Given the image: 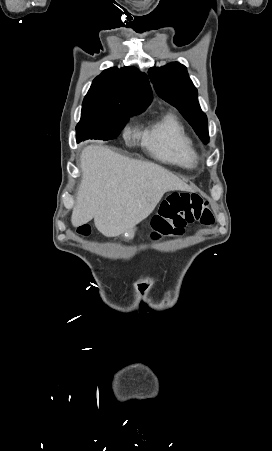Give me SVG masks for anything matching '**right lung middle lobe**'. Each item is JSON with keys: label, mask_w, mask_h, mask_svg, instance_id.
Masks as SVG:
<instances>
[{"label": "right lung middle lobe", "mask_w": 272, "mask_h": 451, "mask_svg": "<svg viewBox=\"0 0 272 451\" xmlns=\"http://www.w3.org/2000/svg\"><path fill=\"white\" fill-rule=\"evenodd\" d=\"M146 108H82L80 122L76 126L77 143L86 139H115L130 116Z\"/></svg>", "instance_id": "dd1d6c3e"}]
</instances>
